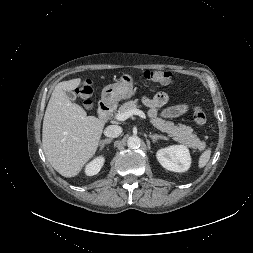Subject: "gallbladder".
Instances as JSON below:
<instances>
[{
	"label": "gallbladder",
	"mask_w": 253,
	"mask_h": 253,
	"mask_svg": "<svg viewBox=\"0 0 253 253\" xmlns=\"http://www.w3.org/2000/svg\"><path fill=\"white\" fill-rule=\"evenodd\" d=\"M66 95L70 100H75L76 99V94L72 91L66 92Z\"/></svg>",
	"instance_id": "obj_1"
}]
</instances>
